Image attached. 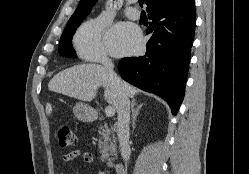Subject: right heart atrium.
<instances>
[{
  "label": "right heart atrium",
  "instance_id": "1",
  "mask_svg": "<svg viewBox=\"0 0 249 174\" xmlns=\"http://www.w3.org/2000/svg\"><path fill=\"white\" fill-rule=\"evenodd\" d=\"M108 23L101 17L88 19L77 29L73 43L80 58L91 62H105L108 60V51L104 36Z\"/></svg>",
  "mask_w": 249,
  "mask_h": 174
}]
</instances>
